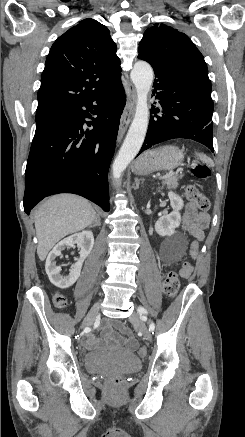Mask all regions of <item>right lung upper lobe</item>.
I'll return each mask as SVG.
<instances>
[{
	"mask_svg": "<svg viewBox=\"0 0 245 437\" xmlns=\"http://www.w3.org/2000/svg\"><path fill=\"white\" fill-rule=\"evenodd\" d=\"M116 44L106 26L84 19L52 45L41 75L37 111L93 97L121 79Z\"/></svg>",
	"mask_w": 245,
	"mask_h": 437,
	"instance_id": "obj_1",
	"label": "right lung upper lobe"
}]
</instances>
